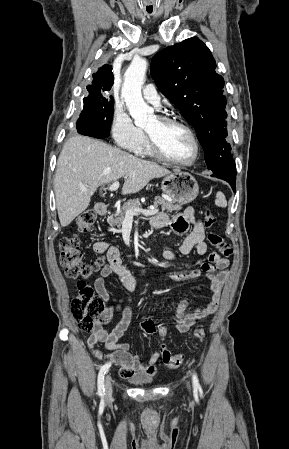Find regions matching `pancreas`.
I'll use <instances>...</instances> for the list:
<instances>
[{"mask_svg":"<svg viewBox=\"0 0 289 449\" xmlns=\"http://www.w3.org/2000/svg\"><path fill=\"white\" fill-rule=\"evenodd\" d=\"M153 204L155 208L161 206L162 210H165L170 213H172L173 211H180L182 209L181 205L173 204L172 202H169L161 197H155ZM138 208H141V203L139 199L129 200L122 206V208L119 211H117L115 214L108 216L107 221L111 225L120 226L126 217V211Z\"/></svg>","mask_w":289,"mask_h":449,"instance_id":"obj_1","label":"pancreas"}]
</instances>
